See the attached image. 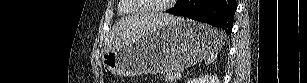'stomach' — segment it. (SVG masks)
<instances>
[{
	"mask_svg": "<svg viewBox=\"0 0 307 83\" xmlns=\"http://www.w3.org/2000/svg\"><path fill=\"white\" fill-rule=\"evenodd\" d=\"M217 30L176 18L121 47L107 50L103 65L117 76L172 72L190 67L219 47Z\"/></svg>",
	"mask_w": 307,
	"mask_h": 83,
	"instance_id": "1",
	"label": "stomach"
}]
</instances>
